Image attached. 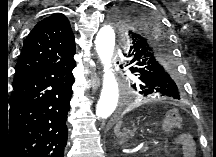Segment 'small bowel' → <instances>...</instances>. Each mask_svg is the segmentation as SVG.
Wrapping results in <instances>:
<instances>
[{
    "mask_svg": "<svg viewBox=\"0 0 216 157\" xmlns=\"http://www.w3.org/2000/svg\"><path fill=\"white\" fill-rule=\"evenodd\" d=\"M178 143L181 146L184 157H193L195 154V145L189 134L183 133L178 136Z\"/></svg>",
    "mask_w": 216,
    "mask_h": 157,
    "instance_id": "1",
    "label": "small bowel"
}]
</instances>
